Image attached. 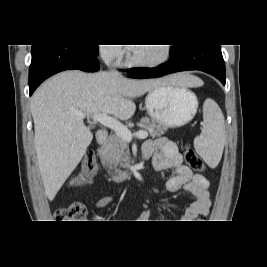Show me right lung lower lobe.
I'll return each mask as SVG.
<instances>
[{
	"label": "right lung lower lobe",
	"instance_id": "obj_1",
	"mask_svg": "<svg viewBox=\"0 0 267 267\" xmlns=\"http://www.w3.org/2000/svg\"><path fill=\"white\" fill-rule=\"evenodd\" d=\"M96 72L100 69L97 54L83 45L37 44L32 45L29 69V92L48 77L64 70Z\"/></svg>",
	"mask_w": 267,
	"mask_h": 267
}]
</instances>
